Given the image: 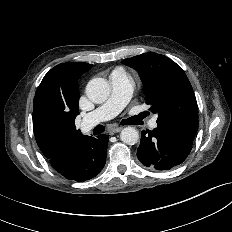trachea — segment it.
<instances>
[{"label":"trachea","instance_id":"obj_1","mask_svg":"<svg viewBox=\"0 0 232 232\" xmlns=\"http://www.w3.org/2000/svg\"><path fill=\"white\" fill-rule=\"evenodd\" d=\"M132 123H133V122H132V119H131V118L125 119V120H122V121H121V124H122V125H127V124H132ZM104 130H105V127H104L103 125H97V126L94 128L93 133H94L95 135H98V134L102 133Z\"/></svg>","mask_w":232,"mask_h":232}]
</instances>
